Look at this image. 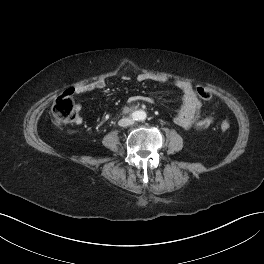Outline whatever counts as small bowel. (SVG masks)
Instances as JSON below:
<instances>
[{
    "label": "small bowel",
    "mask_w": 264,
    "mask_h": 264,
    "mask_svg": "<svg viewBox=\"0 0 264 264\" xmlns=\"http://www.w3.org/2000/svg\"><path fill=\"white\" fill-rule=\"evenodd\" d=\"M124 80H129V77H123ZM148 80H153L156 82H165L164 77H151L147 74H140L137 76L138 82H145ZM106 86V82L103 79H98L96 81L81 84L73 88L75 94H84L94 90L103 89ZM175 86L178 90L182 92V102L177 111V115L174 119L176 125L183 129H190L194 121L198 118L201 108V102L198 99L193 86L186 81H177ZM129 102L143 101L147 103H152L153 98L150 96L136 95L128 99ZM82 118L79 116L76 118L75 123L80 124Z\"/></svg>",
    "instance_id": "1"
}]
</instances>
